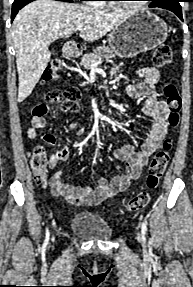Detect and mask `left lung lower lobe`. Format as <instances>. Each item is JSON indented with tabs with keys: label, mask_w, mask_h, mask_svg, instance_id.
I'll list each match as a JSON object with an SVG mask.
<instances>
[{
	"label": "left lung lower lobe",
	"mask_w": 193,
	"mask_h": 287,
	"mask_svg": "<svg viewBox=\"0 0 193 287\" xmlns=\"http://www.w3.org/2000/svg\"><path fill=\"white\" fill-rule=\"evenodd\" d=\"M159 8L167 9L174 12L182 21V10L179 2H171L157 6Z\"/></svg>",
	"instance_id": "obj_1"
}]
</instances>
